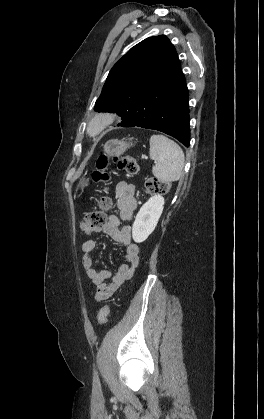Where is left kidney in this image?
<instances>
[{
	"instance_id": "1",
	"label": "left kidney",
	"mask_w": 264,
	"mask_h": 419,
	"mask_svg": "<svg viewBox=\"0 0 264 419\" xmlns=\"http://www.w3.org/2000/svg\"><path fill=\"white\" fill-rule=\"evenodd\" d=\"M163 208L164 198L161 195L152 196L142 205L132 226V237L136 243L145 241L154 231Z\"/></svg>"
}]
</instances>
